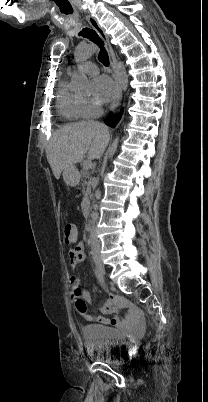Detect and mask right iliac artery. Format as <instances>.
I'll use <instances>...</instances> for the list:
<instances>
[{"instance_id":"82829eb1","label":"right iliac artery","mask_w":208,"mask_h":402,"mask_svg":"<svg viewBox=\"0 0 208 402\" xmlns=\"http://www.w3.org/2000/svg\"><path fill=\"white\" fill-rule=\"evenodd\" d=\"M95 275H96L98 281L102 284L103 283V277H102V275H101V273H100L98 268H95Z\"/></svg>"}]
</instances>
